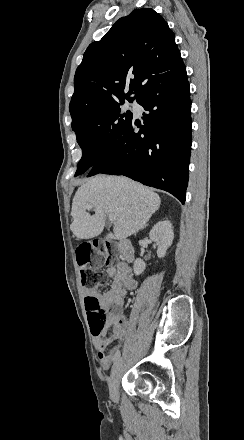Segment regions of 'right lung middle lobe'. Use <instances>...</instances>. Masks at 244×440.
<instances>
[{
  "label": "right lung middle lobe",
  "mask_w": 244,
  "mask_h": 440,
  "mask_svg": "<svg viewBox=\"0 0 244 440\" xmlns=\"http://www.w3.org/2000/svg\"><path fill=\"white\" fill-rule=\"evenodd\" d=\"M134 98L106 99L94 104L70 110L72 129L82 148V158L75 176L90 169L105 154L132 121V113L123 112L124 100Z\"/></svg>",
  "instance_id": "1"
}]
</instances>
